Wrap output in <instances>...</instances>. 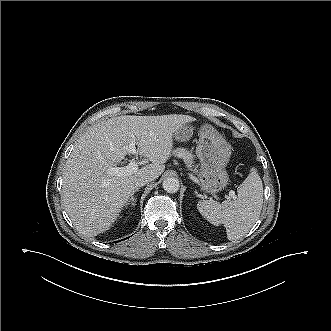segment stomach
I'll list each match as a JSON object with an SVG mask.
<instances>
[{
	"label": "stomach",
	"mask_w": 331,
	"mask_h": 331,
	"mask_svg": "<svg viewBox=\"0 0 331 331\" xmlns=\"http://www.w3.org/2000/svg\"><path fill=\"white\" fill-rule=\"evenodd\" d=\"M189 135L190 129L182 126L175 132L174 137L178 141H184ZM196 154L201 163L199 178L202 189L210 193L224 189L229 180L226 165L231 155L226 140L213 130H205L200 135Z\"/></svg>",
	"instance_id": "0dacf381"
}]
</instances>
